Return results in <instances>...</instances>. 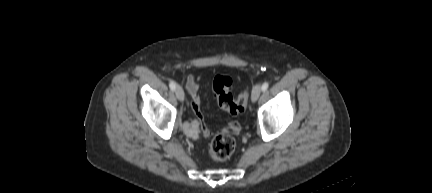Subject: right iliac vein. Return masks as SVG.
<instances>
[{"label": "right iliac vein", "instance_id": "obj_1", "mask_svg": "<svg viewBox=\"0 0 432 193\" xmlns=\"http://www.w3.org/2000/svg\"><path fill=\"white\" fill-rule=\"evenodd\" d=\"M175 93H176V97H177V99L179 101H183L184 100V97H185L184 91H183V89L180 86L176 87Z\"/></svg>", "mask_w": 432, "mask_h": 193}]
</instances>
